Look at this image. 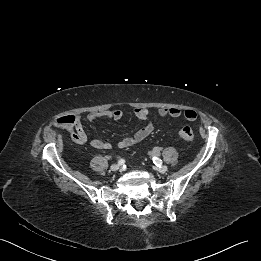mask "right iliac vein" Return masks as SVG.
Instances as JSON below:
<instances>
[{"label":"right iliac vein","instance_id":"obj_1","mask_svg":"<svg viewBox=\"0 0 261 261\" xmlns=\"http://www.w3.org/2000/svg\"><path fill=\"white\" fill-rule=\"evenodd\" d=\"M119 168H120V165H119V164H113V165L111 166V170H112V171H118Z\"/></svg>","mask_w":261,"mask_h":261}]
</instances>
